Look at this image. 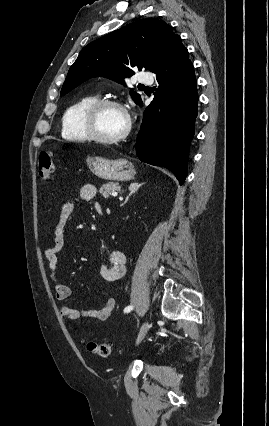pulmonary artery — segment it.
<instances>
[{"instance_id": "obj_1", "label": "pulmonary artery", "mask_w": 269, "mask_h": 426, "mask_svg": "<svg viewBox=\"0 0 269 426\" xmlns=\"http://www.w3.org/2000/svg\"><path fill=\"white\" fill-rule=\"evenodd\" d=\"M137 81L140 83V85H150L153 82V77L148 73H140L137 76Z\"/></svg>"}]
</instances>
